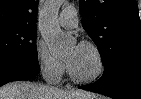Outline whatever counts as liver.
I'll use <instances>...</instances> for the list:
<instances>
[{"mask_svg": "<svg viewBox=\"0 0 141 99\" xmlns=\"http://www.w3.org/2000/svg\"><path fill=\"white\" fill-rule=\"evenodd\" d=\"M0 99H98L83 90H60L28 81H15L0 88Z\"/></svg>", "mask_w": 141, "mask_h": 99, "instance_id": "liver-1", "label": "liver"}]
</instances>
